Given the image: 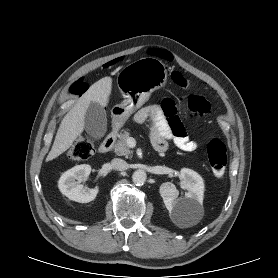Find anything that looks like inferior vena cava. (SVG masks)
Masks as SVG:
<instances>
[{
  "label": "inferior vena cava",
  "instance_id": "1",
  "mask_svg": "<svg viewBox=\"0 0 278 278\" xmlns=\"http://www.w3.org/2000/svg\"><path fill=\"white\" fill-rule=\"evenodd\" d=\"M111 166L113 169L118 170V171H123V170L127 169L126 161L119 159V158H114L111 161Z\"/></svg>",
  "mask_w": 278,
  "mask_h": 278
}]
</instances>
